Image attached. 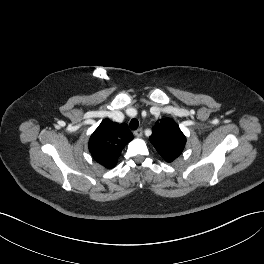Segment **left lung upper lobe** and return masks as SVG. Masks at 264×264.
Masks as SVG:
<instances>
[{
  "label": "left lung upper lobe",
  "mask_w": 264,
  "mask_h": 264,
  "mask_svg": "<svg viewBox=\"0 0 264 264\" xmlns=\"http://www.w3.org/2000/svg\"><path fill=\"white\" fill-rule=\"evenodd\" d=\"M150 141L166 162H172L181 155L186 137L171 119H164L152 129Z\"/></svg>",
  "instance_id": "5c2ea615"
}]
</instances>
